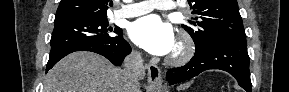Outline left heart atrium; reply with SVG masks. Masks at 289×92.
<instances>
[{"label": "left heart atrium", "mask_w": 289, "mask_h": 92, "mask_svg": "<svg viewBox=\"0 0 289 92\" xmlns=\"http://www.w3.org/2000/svg\"><path fill=\"white\" fill-rule=\"evenodd\" d=\"M131 40L154 55L171 53L176 46L172 27L157 15H148L132 23Z\"/></svg>", "instance_id": "left-heart-atrium-1"}]
</instances>
